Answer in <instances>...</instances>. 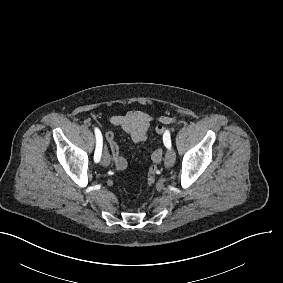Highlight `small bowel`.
Returning <instances> with one entry per match:
<instances>
[{"instance_id":"1","label":"small bowel","mask_w":283,"mask_h":283,"mask_svg":"<svg viewBox=\"0 0 283 283\" xmlns=\"http://www.w3.org/2000/svg\"><path fill=\"white\" fill-rule=\"evenodd\" d=\"M172 120L173 118L165 117L162 122L169 123ZM109 122L129 134L132 140L138 143L147 138L148 131L154 122V118L147 112L141 110H130L125 114L110 116ZM155 132L160 137H163L166 133V129L162 124H158L155 126ZM105 138L108 142L116 170L119 172L124 171L127 167V161L120 153L115 133L113 131H108L105 134Z\"/></svg>"}]
</instances>
